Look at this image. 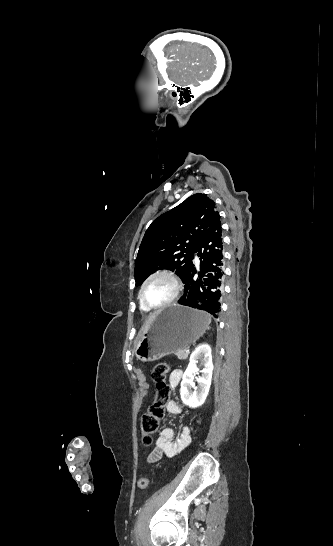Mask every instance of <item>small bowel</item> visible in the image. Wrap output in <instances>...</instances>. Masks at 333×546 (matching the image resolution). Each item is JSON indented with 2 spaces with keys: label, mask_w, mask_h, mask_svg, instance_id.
Wrapping results in <instances>:
<instances>
[{
  "label": "small bowel",
  "mask_w": 333,
  "mask_h": 546,
  "mask_svg": "<svg viewBox=\"0 0 333 546\" xmlns=\"http://www.w3.org/2000/svg\"><path fill=\"white\" fill-rule=\"evenodd\" d=\"M183 372L180 369H175L171 372L169 381L173 387H177L182 380ZM166 409L171 414L181 413L180 406L175 401H169ZM175 431L171 427H164L160 431L155 447L148 456L149 462L158 461L163 455L172 458L184 450L191 442L190 429L184 427L179 434V437L174 441Z\"/></svg>",
  "instance_id": "small-bowel-1"
}]
</instances>
